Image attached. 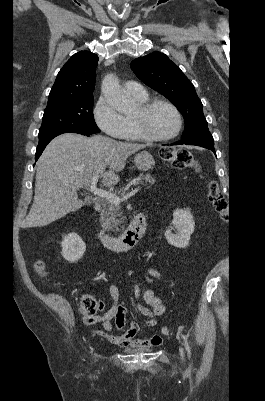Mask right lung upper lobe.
<instances>
[{"mask_svg":"<svg viewBox=\"0 0 265 401\" xmlns=\"http://www.w3.org/2000/svg\"><path fill=\"white\" fill-rule=\"evenodd\" d=\"M97 62L98 56L92 52L81 51L74 54L59 71L47 105L92 95Z\"/></svg>","mask_w":265,"mask_h":401,"instance_id":"obj_1","label":"right lung upper lobe"}]
</instances>
